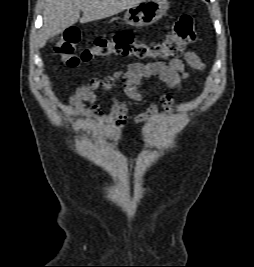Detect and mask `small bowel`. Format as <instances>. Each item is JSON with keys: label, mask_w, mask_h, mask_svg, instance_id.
Listing matches in <instances>:
<instances>
[{"label": "small bowel", "mask_w": 254, "mask_h": 267, "mask_svg": "<svg viewBox=\"0 0 254 267\" xmlns=\"http://www.w3.org/2000/svg\"><path fill=\"white\" fill-rule=\"evenodd\" d=\"M189 66L194 70H203L204 63L199 56L186 51L183 59H172L168 63H131L126 69L115 72L113 75L103 79H94L89 84L79 86L69 99L68 108L77 112H84V103L91 104L93 116L97 121V126L102 128L111 125L118 130L127 123L141 124L153 118L159 111V106L165 112H171L174 108V98L168 93H161L158 102H152L149 107L137 114L128 113L126 100L140 101L143 93L142 87L146 79L155 77L169 88L180 89L182 84L188 80V73L185 67ZM117 80L122 81V92L125 99L119 100L116 97ZM104 91L112 97L113 107L109 114L101 109L98 101V91ZM90 118V114H86ZM117 143V134H112L109 140H102L101 144L107 148H113Z\"/></svg>", "instance_id": "small-bowel-1"}]
</instances>
